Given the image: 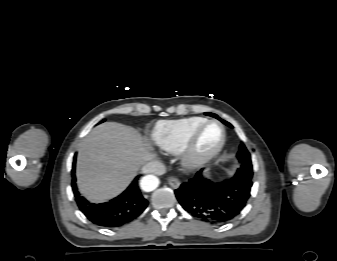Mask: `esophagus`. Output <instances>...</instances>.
<instances>
[{"label":"esophagus","instance_id":"34e87169","mask_svg":"<svg viewBox=\"0 0 337 261\" xmlns=\"http://www.w3.org/2000/svg\"><path fill=\"white\" fill-rule=\"evenodd\" d=\"M168 183L174 189H177L181 184L180 180L177 177H174V176H170L168 178Z\"/></svg>","mask_w":337,"mask_h":261}]
</instances>
